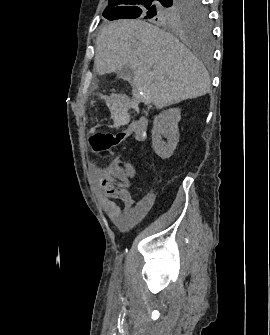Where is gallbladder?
Returning a JSON list of instances; mask_svg holds the SVG:
<instances>
[{
	"label": "gallbladder",
	"instance_id": "bac80fb5",
	"mask_svg": "<svg viewBox=\"0 0 270 335\" xmlns=\"http://www.w3.org/2000/svg\"><path fill=\"white\" fill-rule=\"evenodd\" d=\"M117 78H121V80H125V82H132L134 78L132 68H130V66H125L122 70H118Z\"/></svg>",
	"mask_w": 270,
	"mask_h": 335
}]
</instances>
